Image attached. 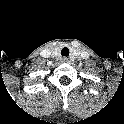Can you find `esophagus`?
I'll return each instance as SVG.
<instances>
[{
	"instance_id": "obj_1",
	"label": "esophagus",
	"mask_w": 124,
	"mask_h": 124,
	"mask_svg": "<svg viewBox=\"0 0 124 124\" xmlns=\"http://www.w3.org/2000/svg\"><path fill=\"white\" fill-rule=\"evenodd\" d=\"M62 62L68 63L69 62V58H67V57L62 58Z\"/></svg>"
}]
</instances>
